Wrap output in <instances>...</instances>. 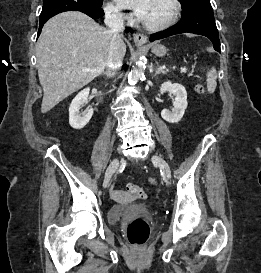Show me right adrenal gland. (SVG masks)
<instances>
[{"mask_svg": "<svg viewBox=\"0 0 261 273\" xmlns=\"http://www.w3.org/2000/svg\"><path fill=\"white\" fill-rule=\"evenodd\" d=\"M103 75H105L107 78H111V77H113V73H112V72H110V71H108V70L103 71Z\"/></svg>", "mask_w": 261, "mask_h": 273, "instance_id": "1", "label": "right adrenal gland"}]
</instances>
